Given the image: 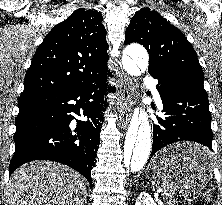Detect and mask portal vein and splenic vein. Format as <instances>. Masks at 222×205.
Listing matches in <instances>:
<instances>
[{
    "label": "portal vein and splenic vein",
    "instance_id": "portal-vein-and-splenic-vein-1",
    "mask_svg": "<svg viewBox=\"0 0 222 205\" xmlns=\"http://www.w3.org/2000/svg\"><path fill=\"white\" fill-rule=\"evenodd\" d=\"M161 192H163V191H161ZM163 194L166 195V196H171L170 194H168V193H166V192H163ZM170 204H171V203H170Z\"/></svg>",
    "mask_w": 222,
    "mask_h": 205
}]
</instances>
